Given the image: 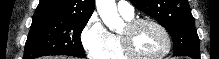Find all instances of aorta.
Segmentation results:
<instances>
[{"mask_svg":"<svg viewBox=\"0 0 219 59\" xmlns=\"http://www.w3.org/2000/svg\"><path fill=\"white\" fill-rule=\"evenodd\" d=\"M96 7L103 22L111 31L121 25L122 19L117 12L115 0H96Z\"/></svg>","mask_w":219,"mask_h":59,"instance_id":"1","label":"aorta"}]
</instances>
